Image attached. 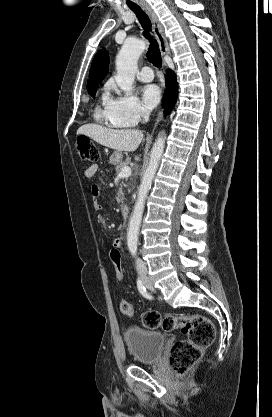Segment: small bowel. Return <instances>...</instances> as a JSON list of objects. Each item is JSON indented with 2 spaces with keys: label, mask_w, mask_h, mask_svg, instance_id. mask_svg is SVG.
Here are the masks:
<instances>
[{
  "label": "small bowel",
  "mask_w": 272,
  "mask_h": 417,
  "mask_svg": "<svg viewBox=\"0 0 272 417\" xmlns=\"http://www.w3.org/2000/svg\"><path fill=\"white\" fill-rule=\"evenodd\" d=\"M98 168H99V166H98L97 163H94V164L90 165L89 167H87L85 169L84 176L87 179L92 178L95 175V173L97 172ZM90 193H91V198H92V203H93L94 208L95 209H100L101 208V198H100L99 186L97 184H93L91 186ZM121 244H122L121 239L116 238L112 242V247L120 249Z\"/></svg>",
  "instance_id": "1"
}]
</instances>
